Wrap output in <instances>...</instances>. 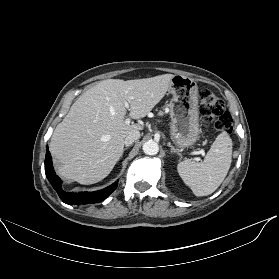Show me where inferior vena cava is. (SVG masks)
Returning a JSON list of instances; mask_svg holds the SVG:
<instances>
[{"label":"inferior vena cava","instance_id":"obj_1","mask_svg":"<svg viewBox=\"0 0 279 279\" xmlns=\"http://www.w3.org/2000/svg\"><path fill=\"white\" fill-rule=\"evenodd\" d=\"M140 138V132L139 131H132L129 132L128 135L124 139V143L126 146L132 145L133 142L138 140Z\"/></svg>","mask_w":279,"mask_h":279}]
</instances>
